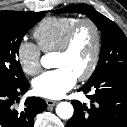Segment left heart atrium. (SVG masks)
<instances>
[{
  "mask_svg": "<svg viewBox=\"0 0 127 127\" xmlns=\"http://www.w3.org/2000/svg\"><path fill=\"white\" fill-rule=\"evenodd\" d=\"M77 76L66 67L47 71L33 81L34 92L41 97L59 99L76 83Z\"/></svg>",
  "mask_w": 127,
  "mask_h": 127,
  "instance_id": "obj_1",
  "label": "left heart atrium"
}]
</instances>
